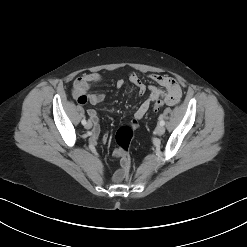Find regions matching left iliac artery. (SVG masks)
Returning <instances> with one entry per match:
<instances>
[{"label": "left iliac artery", "mask_w": 247, "mask_h": 247, "mask_svg": "<svg viewBox=\"0 0 247 247\" xmlns=\"http://www.w3.org/2000/svg\"><path fill=\"white\" fill-rule=\"evenodd\" d=\"M159 119H160V121H159V123H160V125H165V121L162 119V117H159Z\"/></svg>", "instance_id": "obj_1"}]
</instances>
